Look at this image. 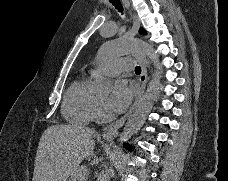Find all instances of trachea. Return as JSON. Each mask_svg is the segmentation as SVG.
Here are the masks:
<instances>
[{"label":"trachea","mask_w":228,"mask_h":181,"mask_svg":"<svg viewBox=\"0 0 228 181\" xmlns=\"http://www.w3.org/2000/svg\"><path fill=\"white\" fill-rule=\"evenodd\" d=\"M112 5L118 10V12L123 13V7L121 5L120 0H110ZM135 73L139 75L141 73V68L140 66H136L135 68Z\"/></svg>","instance_id":"3493384b"}]
</instances>
